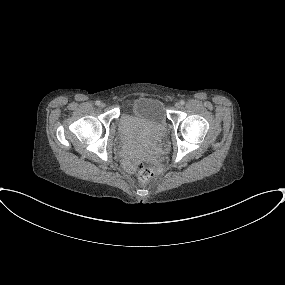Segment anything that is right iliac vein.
<instances>
[{
	"label": "right iliac vein",
	"mask_w": 285,
	"mask_h": 285,
	"mask_svg": "<svg viewBox=\"0 0 285 285\" xmlns=\"http://www.w3.org/2000/svg\"><path fill=\"white\" fill-rule=\"evenodd\" d=\"M100 107H105V103H100Z\"/></svg>",
	"instance_id": "1"
}]
</instances>
